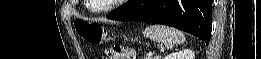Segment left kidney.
<instances>
[{"label":"left kidney","mask_w":261,"mask_h":59,"mask_svg":"<svg viewBox=\"0 0 261 59\" xmlns=\"http://www.w3.org/2000/svg\"><path fill=\"white\" fill-rule=\"evenodd\" d=\"M164 59H194V52L185 49L179 52H173L167 55Z\"/></svg>","instance_id":"5707ae66"}]
</instances>
